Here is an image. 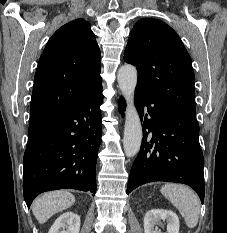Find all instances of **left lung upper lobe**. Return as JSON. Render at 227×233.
Segmentation results:
<instances>
[{"mask_svg":"<svg viewBox=\"0 0 227 233\" xmlns=\"http://www.w3.org/2000/svg\"><path fill=\"white\" fill-rule=\"evenodd\" d=\"M124 60L137 68V90L196 116L191 58L170 26L153 18L139 20L130 32Z\"/></svg>","mask_w":227,"mask_h":233,"instance_id":"5c2ea615","label":"left lung upper lobe"}]
</instances>
